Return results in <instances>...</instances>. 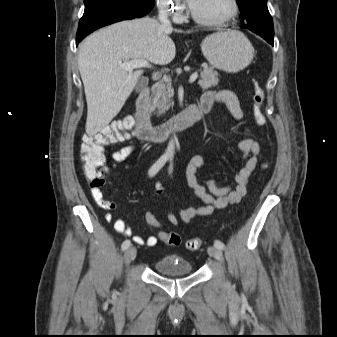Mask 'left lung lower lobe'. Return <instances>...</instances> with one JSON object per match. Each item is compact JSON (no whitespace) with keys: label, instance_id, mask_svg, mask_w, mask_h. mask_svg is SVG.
<instances>
[{"label":"left lung lower lobe","instance_id":"obj_1","mask_svg":"<svg viewBox=\"0 0 337 337\" xmlns=\"http://www.w3.org/2000/svg\"><path fill=\"white\" fill-rule=\"evenodd\" d=\"M241 28L249 29L250 31L260 35L264 38L268 43L273 44L274 38V28L266 27L262 25L256 24H241Z\"/></svg>","mask_w":337,"mask_h":337}]
</instances>
